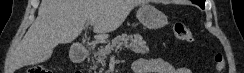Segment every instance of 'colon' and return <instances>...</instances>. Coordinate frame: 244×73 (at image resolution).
I'll return each instance as SVG.
<instances>
[{
	"label": "colon",
	"instance_id": "colon-1",
	"mask_svg": "<svg viewBox=\"0 0 244 73\" xmlns=\"http://www.w3.org/2000/svg\"><path fill=\"white\" fill-rule=\"evenodd\" d=\"M173 32L175 37L184 42L191 44L194 41V36L192 34L190 26L183 21H176L173 24ZM216 68L218 72H222L224 68V59L221 54H216L214 58ZM27 73H50V71L42 66H32L27 70Z\"/></svg>",
	"mask_w": 244,
	"mask_h": 73
}]
</instances>
